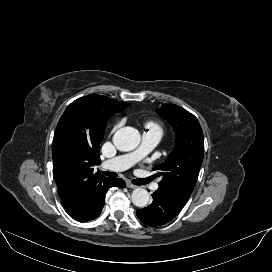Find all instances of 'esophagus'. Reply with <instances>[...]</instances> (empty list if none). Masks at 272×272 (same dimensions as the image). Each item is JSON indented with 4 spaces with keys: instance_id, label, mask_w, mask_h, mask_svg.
Masks as SVG:
<instances>
[{
    "instance_id": "34e87169",
    "label": "esophagus",
    "mask_w": 272,
    "mask_h": 272,
    "mask_svg": "<svg viewBox=\"0 0 272 272\" xmlns=\"http://www.w3.org/2000/svg\"><path fill=\"white\" fill-rule=\"evenodd\" d=\"M126 186L128 187V188H131V189H134V188H136L137 186L136 185H134L132 182H130V181H127L126 182Z\"/></svg>"
}]
</instances>
